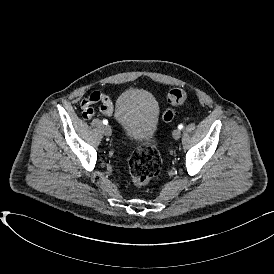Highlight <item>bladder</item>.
Listing matches in <instances>:
<instances>
[{
	"mask_svg": "<svg viewBox=\"0 0 274 274\" xmlns=\"http://www.w3.org/2000/svg\"><path fill=\"white\" fill-rule=\"evenodd\" d=\"M114 117L129 140L149 142L157 131L159 109L150 92L132 88L118 97Z\"/></svg>",
	"mask_w": 274,
	"mask_h": 274,
	"instance_id": "31cf9c89",
	"label": "bladder"
}]
</instances>
